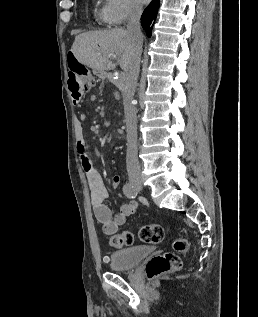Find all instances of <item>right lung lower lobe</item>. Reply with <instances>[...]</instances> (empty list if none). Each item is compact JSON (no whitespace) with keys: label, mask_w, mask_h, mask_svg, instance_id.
<instances>
[{"label":"right lung lower lobe","mask_w":258,"mask_h":317,"mask_svg":"<svg viewBox=\"0 0 258 317\" xmlns=\"http://www.w3.org/2000/svg\"><path fill=\"white\" fill-rule=\"evenodd\" d=\"M160 0H152L149 6L144 10L141 16V25L143 29L146 31L148 37L151 36L152 33V26L153 21L156 18L158 6Z\"/></svg>","instance_id":"98d812e1"}]
</instances>
